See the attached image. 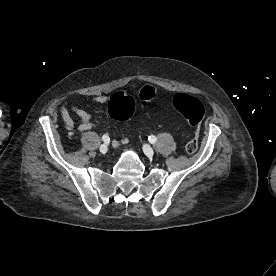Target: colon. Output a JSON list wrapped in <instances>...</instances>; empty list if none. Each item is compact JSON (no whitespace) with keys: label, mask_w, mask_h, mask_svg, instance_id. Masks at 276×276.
I'll return each mask as SVG.
<instances>
[{"label":"colon","mask_w":276,"mask_h":276,"mask_svg":"<svg viewBox=\"0 0 276 276\" xmlns=\"http://www.w3.org/2000/svg\"><path fill=\"white\" fill-rule=\"evenodd\" d=\"M156 95L154 87L146 85L141 88L139 93L140 101L143 105L152 101ZM173 106L176 111L182 114L188 121L189 126L196 130L204 117L205 109L203 104L197 98L185 93H178L173 98ZM136 101L134 97L128 93H116L108 102L109 115L119 121L130 119L135 111ZM185 149L188 153L192 154L198 149V141L196 137L191 138Z\"/></svg>","instance_id":"5ec220e1"}]
</instances>
